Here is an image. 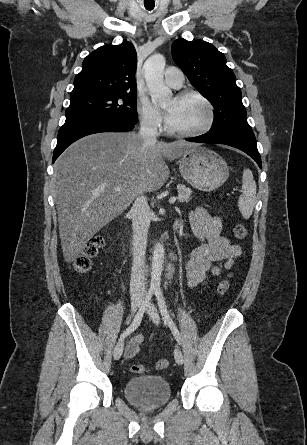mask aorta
Returning <instances> with one entry per match:
<instances>
[{
    "instance_id": "1",
    "label": "aorta",
    "mask_w": 307,
    "mask_h": 445,
    "mask_svg": "<svg viewBox=\"0 0 307 445\" xmlns=\"http://www.w3.org/2000/svg\"><path fill=\"white\" fill-rule=\"evenodd\" d=\"M166 60L163 54H151L144 62V76L146 84L149 88V94L153 104L159 106H168L172 104V90L169 86H165L164 68ZM165 259V249L162 243L154 245L151 281L149 291H159L161 287V275L163 271V263Z\"/></svg>"
}]
</instances>
